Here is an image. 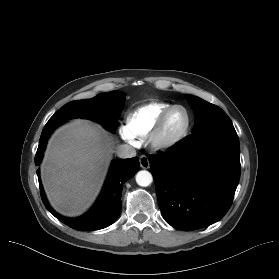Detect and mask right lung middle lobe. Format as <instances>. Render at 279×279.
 <instances>
[{"instance_id": "1", "label": "right lung middle lobe", "mask_w": 279, "mask_h": 279, "mask_svg": "<svg viewBox=\"0 0 279 279\" xmlns=\"http://www.w3.org/2000/svg\"><path fill=\"white\" fill-rule=\"evenodd\" d=\"M125 96L123 92L111 91L98 94L92 99L69 102L58 110L45 126L59 125L68 119L79 117L98 121L110 131L115 132Z\"/></svg>"}]
</instances>
